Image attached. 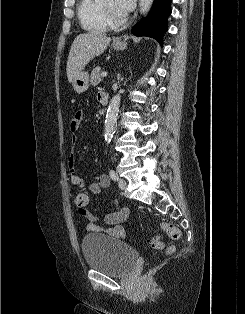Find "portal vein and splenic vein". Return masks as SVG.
<instances>
[{
	"instance_id": "18ae733b",
	"label": "portal vein and splenic vein",
	"mask_w": 245,
	"mask_h": 314,
	"mask_svg": "<svg viewBox=\"0 0 245 314\" xmlns=\"http://www.w3.org/2000/svg\"><path fill=\"white\" fill-rule=\"evenodd\" d=\"M107 74H108V72H103V73L101 74V76L104 78V77L107 76Z\"/></svg>"
}]
</instances>
